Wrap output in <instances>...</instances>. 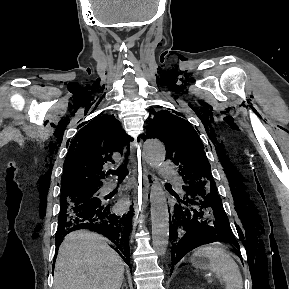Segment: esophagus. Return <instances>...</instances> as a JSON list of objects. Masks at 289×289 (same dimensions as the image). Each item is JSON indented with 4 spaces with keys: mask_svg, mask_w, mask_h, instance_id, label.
Segmentation results:
<instances>
[{
    "mask_svg": "<svg viewBox=\"0 0 289 289\" xmlns=\"http://www.w3.org/2000/svg\"><path fill=\"white\" fill-rule=\"evenodd\" d=\"M132 152L136 154V158L133 157V167H132V182L133 187L135 189H139V187L142 188V200L144 202V206H146V203L148 201V194H149V187H150V171L149 168L144 161V159L141 157V151L140 147L136 146L134 143L132 146ZM138 176L140 179H138ZM135 200H139V196H135Z\"/></svg>",
    "mask_w": 289,
    "mask_h": 289,
    "instance_id": "1",
    "label": "esophagus"
}]
</instances>
